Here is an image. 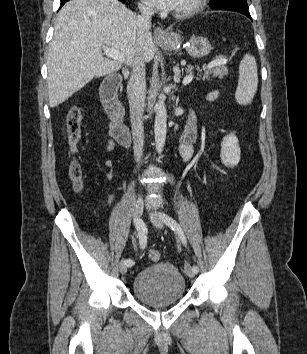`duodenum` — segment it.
I'll return each mask as SVG.
<instances>
[{
  "instance_id": "duodenum-1",
  "label": "duodenum",
  "mask_w": 307,
  "mask_h": 354,
  "mask_svg": "<svg viewBox=\"0 0 307 354\" xmlns=\"http://www.w3.org/2000/svg\"><path fill=\"white\" fill-rule=\"evenodd\" d=\"M122 77L119 74L108 76L101 86V101L110 121L111 135L120 145L127 146L131 142L129 127L123 121V108L118 100V89Z\"/></svg>"
}]
</instances>
